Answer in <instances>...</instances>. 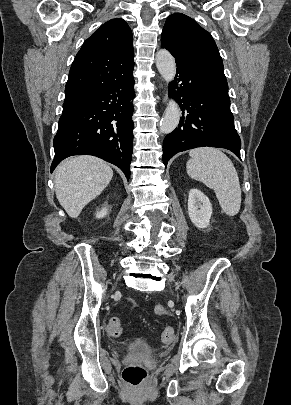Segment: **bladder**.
<instances>
[{
    "mask_svg": "<svg viewBox=\"0 0 291 405\" xmlns=\"http://www.w3.org/2000/svg\"><path fill=\"white\" fill-rule=\"evenodd\" d=\"M127 349L131 352L143 355L155 353V350L143 341H135L129 344Z\"/></svg>",
    "mask_w": 291,
    "mask_h": 405,
    "instance_id": "bladder-1",
    "label": "bladder"
}]
</instances>
